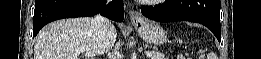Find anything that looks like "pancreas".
Listing matches in <instances>:
<instances>
[{
    "label": "pancreas",
    "mask_w": 261,
    "mask_h": 59,
    "mask_svg": "<svg viewBox=\"0 0 261 59\" xmlns=\"http://www.w3.org/2000/svg\"><path fill=\"white\" fill-rule=\"evenodd\" d=\"M152 56L150 57V59H167L165 54L158 52V51H152Z\"/></svg>",
    "instance_id": "obj_1"
}]
</instances>
